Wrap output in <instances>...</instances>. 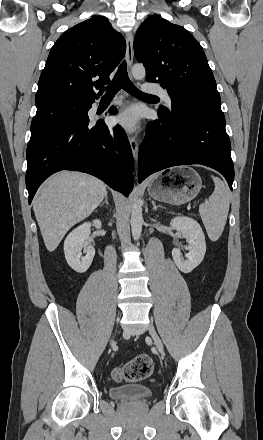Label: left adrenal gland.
Segmentation results:
<instances>
[{
  "instance_id": "obj_1",
  "label": "left adrenal gland",
  "mask_w": 263,
  "mask_h": 440,
  "mask_svg": "<svg viewBox=\"0 0 263 440\" xmlns=\"http://www.w3.org/2000/svg\"><path fill=\"white\" fill-rule=\"evenodd\" d=\"M152 205H153V211H156L157 208H162V209H166L165 207L161 206V205H156L155 201H151Z\"/></svg>"
}]
</instances>
